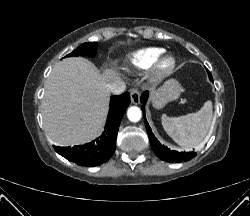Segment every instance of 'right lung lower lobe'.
Here are the masks:
<instances>
[{"mask_svg":"<svg viewBox=\"0 0 250 216\" xmlns=\"http://www.w3.org/2000/svg\"><path fill=\"white\" fill-rule=\"evenodd\" d=\"M129 103L128 92L120 96H112L110 112L102 135L85 145L55 147L56 152L81 166H98L108 161L115 151L118 128Z\"/></svg>","mask_w":250,"mask_h":216,"instance_id":"98d812e1","label":"right lung lower lobe"}]
</instances>
